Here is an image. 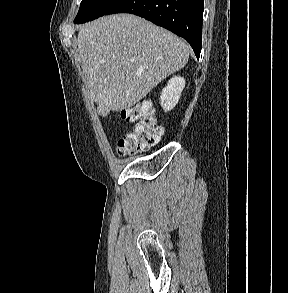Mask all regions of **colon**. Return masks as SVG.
<instances>
[{"instance_id":"5ec220e1","label":"colon","mask_w":288,"mask_h":293,"mask_svg":"<svg viewBox=\"0 0 288 293\" xmlns=\"http://www.w3.org/2000/svg\"><path fill=\"white\" fill-rule=\"evenodd\" d=\"M121 118L133 126L117 142L119 155L127 156L142 152L159 142L163 129L150 105L140 103L124 109Z\"/></svg>"}]
</instances>
